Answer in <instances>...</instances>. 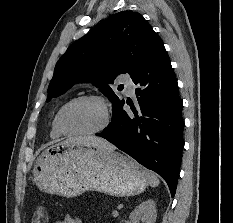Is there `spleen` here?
Returning a JSON list of instances; mask_svg holds the SVG:
<instances>
[{
    "instance_id": "3e777b00",
    "label": "spleen",
    "mask_w": 233,
    "mask_h": 223,
    "mask_svg": "<svg viewBox=\"0 0 233 223\" xmlns=\"http://www.w3.org/2000/svg\"><path fill=\"white\" fill-rule=\"evenodd\" d=\"M147 177H148L149 183H150V185H152V187H156V185H159L160 181H159L158 175H156V173H153V171H148Z\"/></svg>"
}]
</instances>
